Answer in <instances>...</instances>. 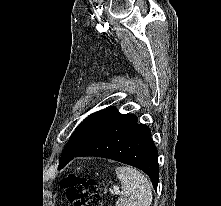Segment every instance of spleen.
I'll return each mask as SVG.
<instances>
[{
  "instance_id": "obj_1",
  "label": "spleen",
  "mask_w": 221,
  "mask_h": 206,
  "mask_svg": "<svg viewBox=\"0 0 221 206\" xmlns=\"http://www.w3.org/2000/svg\"><path fill=\"white\" fill-rule=\"evenodd\" d=\"M115 172L122 185V196L116 206H150L152 186L145 175L127 166H119Z\"/></svg>"
}]
</instances>
